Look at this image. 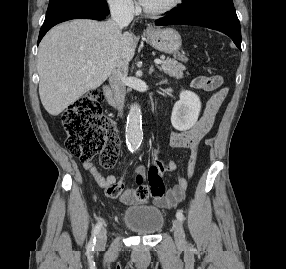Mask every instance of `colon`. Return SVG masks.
Masks as SVG:
<instances>
[{
	"mask_svg": "<svg viewBox=\"0 0 286 269\" xmlns=\"http://www.w3.org/2000/svg\"><path fill=\"white\" fill-rule=\"evenodd\" d=\"M178 62H191L187 57V49H176ZM215 78H193L192 88L208 91V100H204L202 110H221V105L227 96V88L219 75ZM102 96L98 91H90L75 100L62 114V125L67 135L65 142L67 151L82 162H87L99 156L100 164L104 168L113 167L120 151V139L115 123L104 116L101 111ZM154 159H163V154H154ZM146 175H137L138 198L145 199L149 194L161 197L165 194L163 183L166 163L156 161L147 163ZM144 182L147 184L144 185ZM124 191L122 182L113 183L107 194L111 198H118Z\"/></svg>",
	"mask_w": 286,
	"mask_h": 269,
	"instance_id": "obj_1",
	"label": "colon"
}]
</instances>
